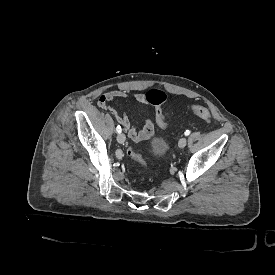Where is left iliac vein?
Wrapping results in <instances>:
<instances>
[{"label":"left iliac vein","mask_w":275,"mask_h":275,"mask_svg":"<svg viewBox=\"0 0 275 275\" xmlns=\"http://www.w3.org/2000/svg\"><path fill=\"white\" fill-rule=\"evenodd\" d=\"M186 145H187V139L184 138V137L181 138V139L179 140V143H178L179 148H184Z\"/></svg>","instance_id":"1"}]
</instances>
